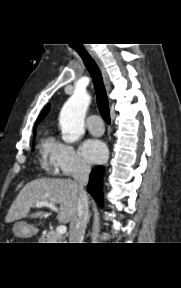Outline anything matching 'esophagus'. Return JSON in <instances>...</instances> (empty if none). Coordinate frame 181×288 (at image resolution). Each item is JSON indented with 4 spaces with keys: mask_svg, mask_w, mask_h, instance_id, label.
I'll list each match as a JSON object with an SVG mask.
<instances>
[{
    "mask_svg": "<svg viewBox=\"0 0 181 288\" xmlns=\"http://www.w3.org/2000/svg\"><path fill=\"white\" fill-rule=\"evenodd\" d=\"M89 53L92 56V58L95 60V62L97 63V65L101 71L106 90H107V92H109L110 91V81H109L107 71H106L102 61L100 60V58L98 57V55L94 51L90 50Z\"/></svg>",
    "mask_w": 181,
    "mask_h": 288,
    "instance_id": "obj_1",
    "label": "esophagus"
}]
</instances>
